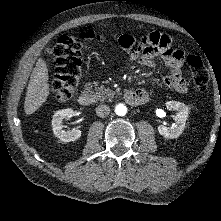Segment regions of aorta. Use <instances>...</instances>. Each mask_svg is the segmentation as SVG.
<instances>
[{
    "mask_svg": "<svg viewBox=\"0 0 221 221\" xmlns=\"http://www.w3.org/2000/svg\"><path fill=\"white\" fill-rule=\"evenodd\" d=\"M115 113L118 116H124L127 113V108L124 104H118L115 106Z\"/></svg>",
    "mask_w": 221,
    "mask_h": 221,
    "instance_id": "obj_1",
    "label": "aorta"
}]
</instances>
